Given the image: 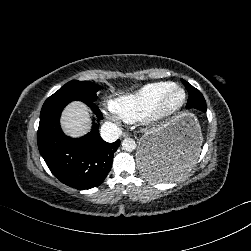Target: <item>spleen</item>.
<instances>
[{
    "label": "spleen",
    "instance_id": "1",
    "mask_svg": "<svg viewBox=\"0 0 251 251\" xmlns=\"http://www.w3.org/2000/svg\"><path fill=\"white\" fill-rule=\"evenodd\" d=\"M196 157H187L185 155V159L180 161L178 169H176L173 173L170 172L168 167L163 165L153 163L149 164V179L154 180H175L179 178L183 173L190 170V168L195 164Z\"/></svg>",
    "mask_w": 251,
    "mask_h": 251
}]
</instances>
